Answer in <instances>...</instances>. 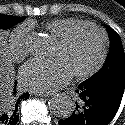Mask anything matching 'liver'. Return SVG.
Listing matches in <instances>:
<instances>
[{
  "mask_svg": "<svg viewBox=\"0 0 125 125\" xmlns=\"http://www.w3.org/2000/svg\"><path fill=\"white\" fill-rule=\"evenodd\" d=\"M13 86L14 68L4 38L0 36V103L10 99Z\"/></svg>",
  "mask_w": 125,
  "mask_h": 125,
  "instance_id": "1",
  "label": "liver"
}]
</instances>
